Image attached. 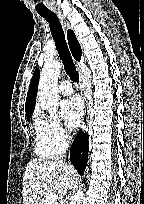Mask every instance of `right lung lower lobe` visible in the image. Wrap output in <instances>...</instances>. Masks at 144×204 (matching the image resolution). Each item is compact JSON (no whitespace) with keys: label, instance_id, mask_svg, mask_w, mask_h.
<instances>
[{"label":"right lung lower lobe","instance_id":"1","mask_svg":"<svg viewBox=\"0 0 144 204\" xmlns=\"http://www.w3.org/2000/svg\"><path fill=\"white\" fill-rule=\"evenodd\" d=\"M88 159V134L80 132L70 151V160L80 175L84 174Z\"/></svg>","mask_w":144,"mask_h":204}]
</instances>
